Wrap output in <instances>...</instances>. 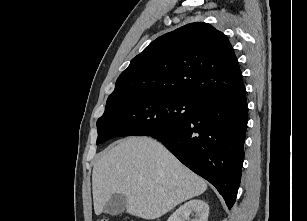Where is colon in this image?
<instances>
[{"label":"colon","mask_w":307,"mask_h":221,"mask_svg":"<svg viewBox=\"0 0 307 221\" xmlns=\"http://www.w3.org/2000/svg\"><path fill=\"white\" fill-rule=\"evenodd\" d=\"M100 221H108V219L103 218V219H100ZM131 221H134V220H131Z\"/></svg>","instance_id":"5ec220e1"}]
</instances>
